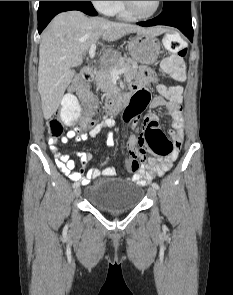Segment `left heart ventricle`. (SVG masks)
Masks as SVG:
<instances>
[{
	"mask_svg": "<svg viewBox=\"0 0 233 295\" xmlns=\"http://www.w3.org/2000/svg\"><path fill=\"white\" fill-rule=\"evenodd\" d=\"M134 10L140 15L150 14L156 7L157 1H131Z\"/></svg>",
	"mask_w": 233,
	"mask_h": 295,
	"instance_id": "obj_1",
	"label": "left heart ventricle"
}]
</instances>
